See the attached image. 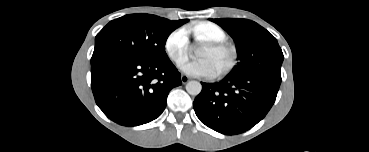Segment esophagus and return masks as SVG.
<instances>
[{
    "instance_id": "esophagus-1",
    "label": "esophagus",
    "mask_w": 369,
    "mask_h": 152,
    "mask_svg": "<svg viewBox=\"0 0 369 152\" xmlns=\"http://www.w3.org/2000/svg\"><path fill=\"white\" fill-rule=\"evenodd\" d=\"M181 81L183 84H185L189 81V77L186 75H181Z\"/></svg>"
}]
</instances>
